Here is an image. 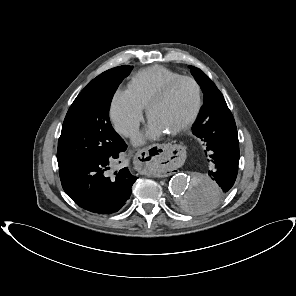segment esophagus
<instances>
[{
  "label": "esophagus",
  "mask_w": 296,
  "mask_h": 296,
  "mask_svg": "<svg viewBox=\"0 0 296 296\" xmlns=\"http://www.w3.org/2000/svg\"><path fill=\"white\" fill-rule=\"evenodd\" d=\"M176 157V151L169 142L161 141L155 146H143L135 156L133 170L139 176H146L161 163L172 164Z\"/></svg>",
  "instance_id": "1"
}]
</instances>
